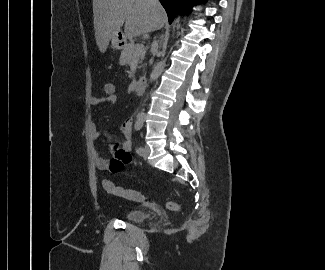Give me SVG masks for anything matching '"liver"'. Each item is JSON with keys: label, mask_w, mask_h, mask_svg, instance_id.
I'll list each match as a JSON object with an SVG mask.
<instances>
[{"label": "liver", "mask_w": 325, "mask_h": 270, "mask_svg": "<svg viewBox=\"0 0 325 270\" xmlns=\"http://www.w3.org/2000/svg\"><path fill=\"white\" fill-rule=\"evenodd\" d=\"M93 17L101 53L124 23V35L132 38L161 28L166 22L164 9L152 0H93Z\"/></svg>", "instance_id": "obj_1"}]
</instances>
